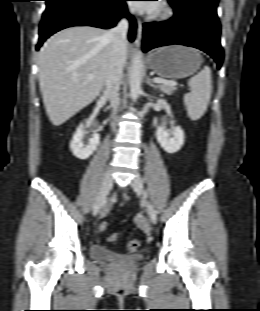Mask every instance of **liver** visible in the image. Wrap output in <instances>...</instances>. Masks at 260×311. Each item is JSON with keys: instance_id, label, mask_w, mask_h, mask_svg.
Here are the masks:
<instances>
[{"instance_id": "6515ba94", "label": "liver", "mask_w": 260, "mask_h": 311, "mask_svg": "<svg viewBox=\"0 0 260 311\" xmlns=\"http://www.w3.org/2000/svg\"><path fill=\"white\" fill-rule=\"evenodd\" d=\"M106 33L89 26L70 27L53 35L41 48L39 85L54 126L89 105L103 89L111 50ZM127 51L128 46L125 57Z\"/></svg>"}]
</instances>
